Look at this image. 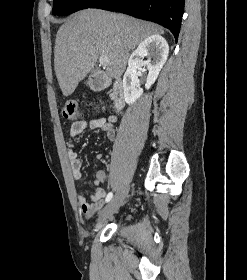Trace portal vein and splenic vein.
Returning a JSON list of instances; mask_svg holds the SVG:
<instances>
[{"label": "portal vein and splenic vein", "mask_w": 247, "mask_h": 280, "mask_svg": "<svg viewBox=\"0 0 247 280\" xmlns=\"http://www.w3.org/2000/svg\"><path fill=\"white\" fill-rule=\"evenodd\" d=\"M99 63L102 66H107L109 64V58L107 56H100Z\"/></svg>", "instance_id": "portal-vein-and-splenic-vein-1"}]
</instances>
